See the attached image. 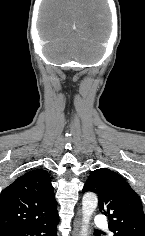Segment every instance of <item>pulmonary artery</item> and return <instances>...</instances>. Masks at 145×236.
<instances>
[{"label":"pulmonary artery","mask_w":145,"mask_h":236,"mask_svg":"<svg viewBox=\"0 0 145 236\" xmlns=\"http://www.w3.org/2000/svg\"><path fill=\"white\" fill-rule=\"evenodd\" d=\"M94 224L97 226V227H100V228H107V220L104 216L102 215H97L95 220H94Z\"/></svg>","instance_id":"e3ab8cb5"}]
</instances>
